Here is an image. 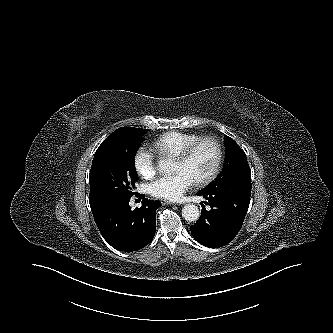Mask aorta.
<instances>
[{"instance_id":"1","label":"aorta","mask_w":333,"mask_h":333,"mask_svg":"<svg viewBox=\"0 0 333 333\" xmlns=\"http://www.w3.org/2000/svg\"><path fill=\"white\" fill-rule=\"evenodd\" d=\"M158 168L161 172L169 173L172 170V162L170 160H160ZM182 216L188 222H194L199 219L200 211L194 204H187L182 208Z\"/></svg>"}]
</instances>
